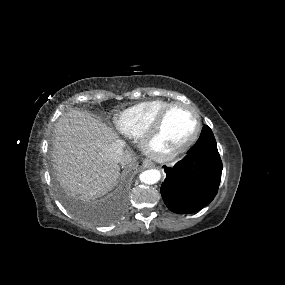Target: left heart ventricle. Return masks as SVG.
<instances>
[{
    "label": "left heart ventricle",
    "mask_w": 285,
    "mask_h": 285,
    "mask_svg": "<svg viewBox=\"0 0 285 285\" xmlns=\"http://www.w3.org/2000/svg\"><path fill=\"white\" fill-rule=\"evenodd\" d=\"M195 127L194 113L187 108L177 107L168 114L161 132L153 141V148L159 152L174 149L190 138Z\"/></svg>",
    "instance_id": "obj_1"
}]
</instances>
